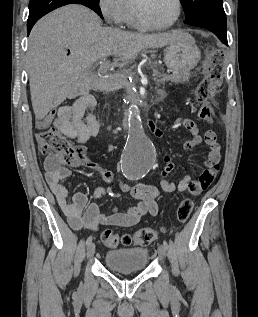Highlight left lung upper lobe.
Listing matches in <instances>:
<instances>
[{
	"instance_id": "1",
	"label": "left lung upper lobe",
	"mask_w": 258,
	"mask_h": 317,
	"mask_svg": "<svg viewBox=\"0 0 258 317\" xmlns=\"http://www.w3.org/2000/svg\"><path fill=\"white\" fill-rule=\"evenodd\" d=\"M186 15L185 22L197 27L226 29L223 0H180Z\"/></svg>"
}]
</instances>
